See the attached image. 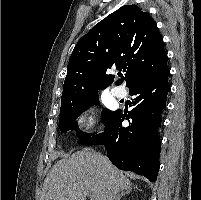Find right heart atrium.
Segmentation results:
<instances>
[{
	"label": "right heart atrium",
	"mask_w": 201,
	"mask_h": 200,
	"mask_svg": "<svg viewBox=\"0 0 201 200\" xmlns=\"http://www.w3.org/2000/svg\"><path fill=\"white\" fill-rule=\"evenodd\" d=\"M78 124L86 129H93L96 124L95 114L92 111L85 112L78 118Z\"/></svg>",
	"instance_id": "1"
}]
</instances>
